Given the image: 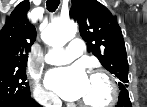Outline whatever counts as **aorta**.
Here are the masks:
<instances>
[{
    "instance_id": "obj_1",
    "label": "aorta",
    "mask_w": 147,
    "mask_h": 107,
    "mask_svg": "<svg viewBox=\"0 0 147 107\" xmlns=\"http://www.w3.org/2000/svg\"><path fill=\"white\" fill-rule=\"evenodd\" d=\"M77 33V24L72 21L53 22L43 32L44 42L52 47L59 48L73 39Z\"/></svg>"
}]
</instances>
